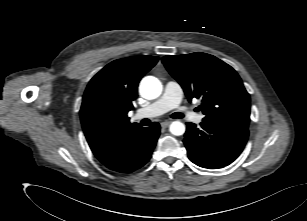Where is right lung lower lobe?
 I'll list each match as a JSON object with an SVG mask.
<instances>
[{"instance_id":"right-lung-lower-lobe-1","label":"right lung lower lobe","mask_w":307,"mask_h":221,"mask_svg":"<svg viewBox=\"0 0 307 221\" xmlns=\"http://www.w3.org/2000/svg\"><path fill=\"white\" fill-rule=\"evenodd\" d=\"M159 134L160 126L156 122L146 129L140 126L97 159L112 171L134 172L149 161Z\"/></svg>"}]
</instances>
